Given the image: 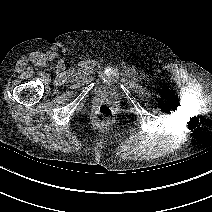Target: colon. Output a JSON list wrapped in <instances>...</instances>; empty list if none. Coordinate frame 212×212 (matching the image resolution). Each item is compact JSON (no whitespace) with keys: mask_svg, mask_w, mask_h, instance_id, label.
Returning a JSON list of instances; mask_svg holds the SVG:
<instances>
[{"mask_svg":"<svg viewBox=\"0 0 212 212\" xmlns=\"http://www.w3.org/2000/svg\"><path fill=\"white\" fill-rule=\"evenodd\" d=\"M114 112L107 105H100L94 112V119L100 125H107L113 121Z\"/></svg>","mask_w":212,"mask_h":212,"instance_id":"5ec220e1","label":"colon"}]
</instances>
